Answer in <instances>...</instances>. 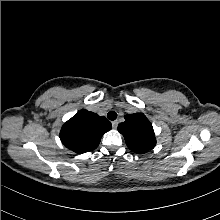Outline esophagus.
Returning a JSON list of instances; mask_svg holds the SVG:
<instances>
[{"label": "esophagus", "instance_id": "1", "mask_svg": "<svg viewBox=\"0 0 220 220\" xmlns=\"http://www.w3.org/2000/svg\"><path fill=\"white\" fill-rule=\"evenodd\" d=\"M118 124H119L118 120L113 121V122H112L113 128L116 129L117 126H118Z\"/></svg>", "mask_w": 220, "mask_h": 220}]
</instances>
